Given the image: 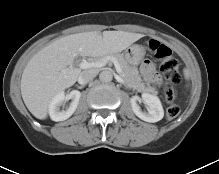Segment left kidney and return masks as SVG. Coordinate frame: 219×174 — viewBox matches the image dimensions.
I'll return each mask as SVG.
<instances>
[{"label":"left kidney","mask_w":219,"mask_h":174,"mask_svg":"<svg viewBox=\"0 0 219 174\" xmlns=\"http://www.w3.org/2000/svg\"><path fill=\"white\" fill-rule=\"evenodd\" d=\"M139 97L133 96L130 99L131 107L137 117L146 122L154 123L160 121L164 116V110L160 99L149 93L142 94V101L147 105V112H142L137 104Z\"/></svg>","instance_id":"1"}]
</instances>
